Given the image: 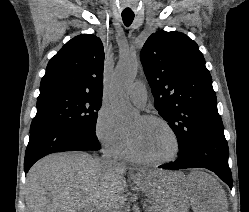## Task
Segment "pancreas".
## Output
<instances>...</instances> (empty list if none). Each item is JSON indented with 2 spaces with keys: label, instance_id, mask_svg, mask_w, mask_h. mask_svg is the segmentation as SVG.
Wrapping results in <instances>:
<instances>
[{
  "label": "pancreas",
  "instance_id": "pancreas-1",
  "mask_svg": "<svg viewBox=\"0 0 249 212\" xmlns=\"http://www.w3.org/2000/svg\"><path fill=\"white\" fill-rule=\"evenodd\" d=\"M145 212H162V208L158 204H152V206L146 208Z\"/></svg>",
  "mask_w": 249,
  "mask_h": 212
}]
</instances>
